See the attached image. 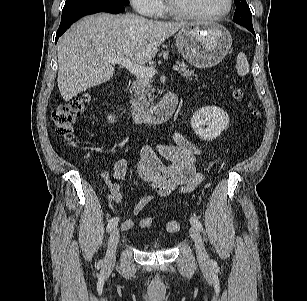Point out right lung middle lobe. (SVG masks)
Masks as SVG:
<instances>
[{"mask_svg":"<svg viewBox=\"0 0 307 301\" xmlns=\"http://www.w3.org/2000/svg\"><path fill=\"white\" fill-rule=\"evenodd\" d=\"M95 4L128 5V0H66L62 14Z\"/></svg>","mask_w":307,"mask_h":301,"instance_id":"1","label":"right lung middle lobe"}]
</instances>
